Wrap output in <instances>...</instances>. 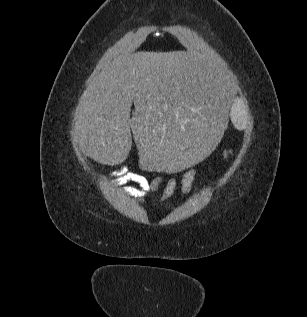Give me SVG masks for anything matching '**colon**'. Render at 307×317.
<instances>
[{
    "label": "colon",
    "instance_id": "5ec220e1",
    "mask_svg": "<svg viewBox=\"0 0 307 317\" xmlns=\"http://www.w3.org/2000/svg\"><path fill=\"white\" fill-rule=\"evenodd\" d=\"M229 153H230V151H227V152H226V154H225V155H226V157L229 155Z\"/></svg>",
    "mask_w": 307,
    "mask_h": 317
}]
</instances>
